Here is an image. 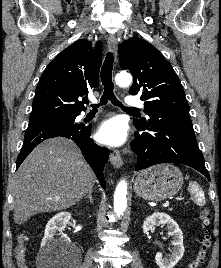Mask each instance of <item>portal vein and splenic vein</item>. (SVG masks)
Listing matches in <instances>:
<instances>
[{"label":"portal vein and splenic vein","mask_w":221,"mask_h":268,"mask_svg":"<svg viewBox=\"0 0 221 268\" xmlns=\"http://www.w3.org/2000/svg\"><path fill=\"white\" fill-rule=\"evenodd\" d=\"M169 206V202H166L163 204V207H168Z\"/></svg>","instance_id":"18ae733b"}]
</instances>
